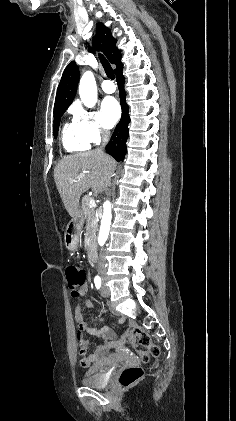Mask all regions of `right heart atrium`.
<instances>
[{"label": "right heart atrium", "instance_id": "obj_1", "mask_svg": "<svg viewBox=\"0 0 236 421\" xmlns=\"http://www.w3.org/2000/svg\"><path fill=\"white\" fill-rule=\"evenodd\" d=\"M72 113L74 123L90 143H98L108 135L101 116L96 111L83 106H76L73 108Z\"/></svg>", "mask_w": 236, "mask_h": 421}]
</instances>
